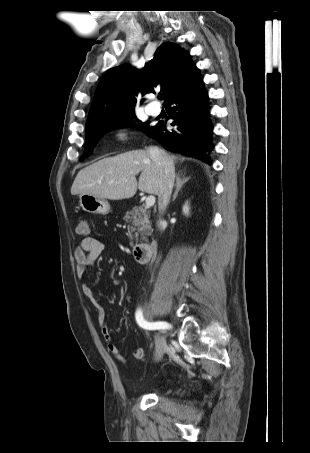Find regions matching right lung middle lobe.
<instances>
[{"label":"right lung middle lobe","instance_id":"dd1d6c3e","mask_svg":"<svg viewBox=\"0 0 310 453\" xmlns=\"http://www.w3.org/2000/svg\"><path fill=\"white\" fill-rule=\"evenodd\" d=\"M131 117L132 113L127 114L125 116H122L118 119H115L110 122L102 123L99 125H96L94 127H91L89 129H86V149L80 158L82 161L84 158L88 157L91 155L94 145L96 144L97 140L100 138L101 135L106 133L107 131L118 128V127H123L124 125L128 124L131 122ZM149 121L146 123H143L140 127L143 131H147L150 126H149Z\"/></svg>","mask_w":310,"mask_h":453}]
</instances>
